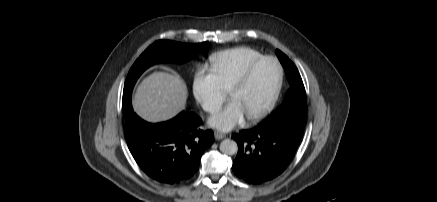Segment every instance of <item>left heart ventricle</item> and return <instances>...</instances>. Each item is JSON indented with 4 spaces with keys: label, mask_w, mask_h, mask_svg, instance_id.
I'll use <instances>...</instances> for the list:
<instances>
[{
    "label": "left heart ventricle",
    "mask_w": 437,
    "mask_h": 202,
    "mask_svg": "<svg viewBox=\"0 0 437 202\" xmlns=\"http://www.w3.org/2000/svg\"><path fill=\"white\" fill-rule=\"evenodd\" d=\"M278 77V68L273 61H264L254 70L250 80L231 96L249 117L261 110L271 97Z\"/></svg>",
    "instance_id": "left-heart-ventricle-1"
}]
</instances>
